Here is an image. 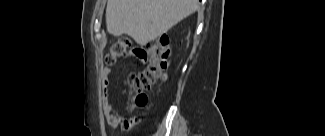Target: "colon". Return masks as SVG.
I'll list each match as a JSON object with an SVG mask.
<instances>
[{"mask_svg":"<svg viewBox=\"0 0 325 136\" xmlns=\"http://www.w3.org/2000/svg\"><path fill=\"white\" fill-rule=\"evenodd\" d=\"M131 48V40L127 37L113 42L105 58L106 64L114 65L119 60L126 58L130 54ZM144 50L148 56L147 67L131 83L132 88L137 92L136 104L138 105L146 104L147 98L144 91L164 81L170 67V48L166 37L162 36L150 41L144 46Z\"/></svg>","mask_w":325,"mask_h":136,"instance_id":"obj_1","label":"colon"}]
</instances>
